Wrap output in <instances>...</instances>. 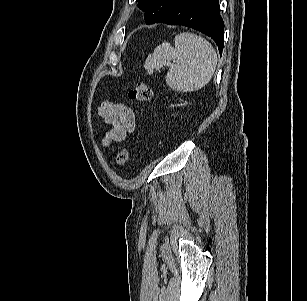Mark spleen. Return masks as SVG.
<instances>
[{
    "instance_id": "obj_1",
    "label": "spleen",
    "mask_w": 307,
    "mask_h": 301,
    "mask_svg": "<svg viewBox=\"0 0 307 301\" xmlns=\"http://www.w3.org/2000/svg\"><path fill=\"white\" fill-rule=\"evenodd\" d=\"M174 60V63L171 61ZM217 65V54L211 43L194 33L183 32L175 36V48L165 42L159 45L145 62V69L169 67L166 83L180 92L196 91L212 78Z\"/></svg>"
}]
</instances>
